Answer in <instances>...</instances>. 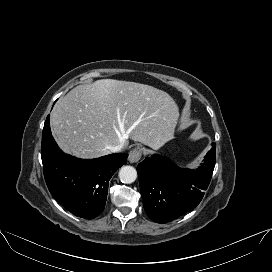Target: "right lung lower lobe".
<instances>
[{"mask_svg":"<svg viewBox=\"0 0 272 272\" xmlns=\"http://www.w3.org/2000/svg\"><path fill=\"white\" fill-rule=\"evenodd\" d=\"M126 153L78 159L63 153L54 141L48 116L42 133L41 157L52 196L72 214L93 219L105 207L112 175L127 163Z\"/></svg>","mask_w":272,"mask_h":272,"instance_id":"98d812e1","label":"right lung lower lobe"}]
</instances>
